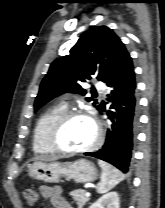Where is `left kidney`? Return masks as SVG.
Here are the masks:
<instances>
[{
	"mask_svg": "<svg viewBox=\"0 0 165 208\" xmlns=\"http://www.w3.org/2000/svg\"><path fill=\"white\" fill-rule=\"evenodd\" d=\"M89 208H120L117 192H109L99 198Z\"/></svg>",
	"mask_w": 165,
	"mask_h": 208,
	"instance_id": "1",
	"label": "left kidney"
}]
</instances>
